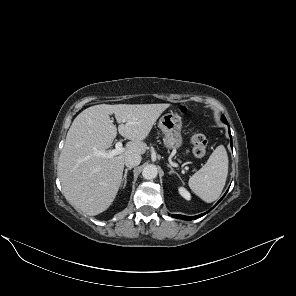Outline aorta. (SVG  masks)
<instances>
[{"label": "aorta", "instance_id": "1", "mask_svg": "<svg viewBox=\"0 0 296 296\" xmlns=\"http://www.w3.org/2000/svg\"><path fill=\"white\" fill-rule=\"evenodd\" d=\"M158 174L157 167L153 164L147 165L142 171V176L147 180L154 179Z\"/></svg>", "mask_w": 296, "mask_h": 296}]
</instances>
